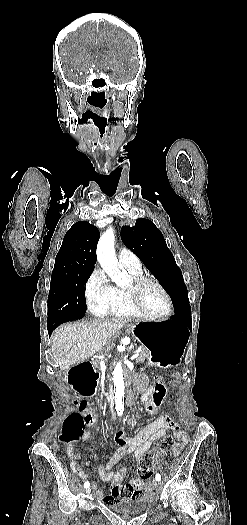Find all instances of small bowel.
I'll return each instance as SVG.
<instances>
[{
	"mask_svg": "<svg viewBox=\"0 0 247 525\" xmlns=\"http://www.w3.org/2000/svg\"><path fill=\"white\" fill-rule=\"evenodd\" d=\"M146 399H153L152 387L142 395L143 402H145ZM168 428H174L176 430L175 436L178 440L184 441V444L187 442L188 437L185 432L179 428L176 422L166 415L159 416L156 420L151 421L142 430L131 437H128L122 431L115 433L114 439L118 444V448L105 463H100L98 465V475L100 479L112 484L110 494L103 496L105 506H122L125 503V498L121 494V488L123 485L122 482L128 475L129 470L127 468H121L118 471H113V467L127 454H132L136 460L142 458L151 447L166 434ZM95 438L96 434L94 432L85 431L81 436V441L87 442L89 440H94ZM178 453L179 451H174L175 455ZM68 455L74 473H76L82 480H89L90 475L81 467L79 460L80 454L74 452L73 447H70ZM158 460L161 461V457H158ZM142 485L143 482L138 478L132 479L131 482L127 481L123 485V494L129 496L133 490L135 497L130 499L135 500L144 493V490L141 487ZM95 494L101 496L102 491L97 489Z\"/></svg>",
	"mask_w": 247,
	"mask_h": 525,
	"instance_id": "obj_1",
	"label": "small bowel"
}]
</instances>
